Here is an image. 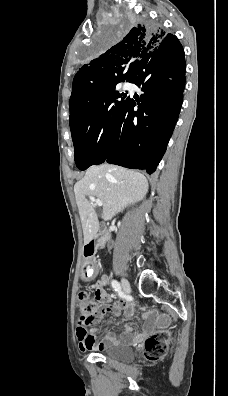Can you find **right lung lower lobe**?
<instances>
[{
	"label": "right lung lower lobe",
	"instance_id": "1",
	"mask_svg": "<svg viewBox=\"0 0 228 396\" xmlns=\"http://www.w3.org/2000/svg\"><path fill=\"white\" fill-rule=\"evenodd\" d=\"M185 59L182 46H160L138 64L129 82L141 88L125 98L109 136L104 162L155 171L172 135L183 101Z\"/></svg>",
	"mask_w": 228,
	"mask_h": 396
}]
</instances>
